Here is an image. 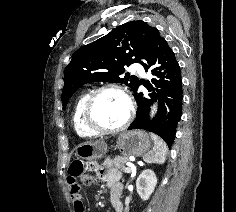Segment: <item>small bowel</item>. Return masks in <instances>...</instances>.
<instances>
[{"label":"small bowel","mask_w":236,"mask_h":212,"mask_svg":"<svg viewBox=\"0 0 236 212\" xmlns=\"http://www.w3.org/2000/svg\"><path fill=\"white\" fill-rule=\"evenodd\" d=\"M71 171V169H70ZM101 178L106 182L108 188L111 192V197L113 202L119 208L118 197L121 191V185L119 183V173L114 170L110 171H101L100 173ZM65 179L69 183V192L72 197V203L74 212H84L83 211V200L81 196V187L80 184L82 183L81 179H78L77 175H66Z\"/></svg>","instance_id":"obj_1"}]
</instances>
